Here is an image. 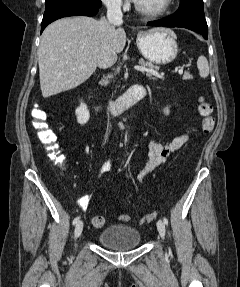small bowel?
<instances>
[{
  "label": "small bowel",
  "mask_w": 240,
  "mask_h": 287,
  "mask_svg": "<svg viewBox=\"0 0 240 287\" xmlns=\"http://www.w3.org/2000/svg\"><path fill=\"white\" fill-rule=\"evenodd\" d=\"M188 139L189 137L183 134L175 137L168 143H159L156 141H151L149 143V159L146 166L138 174V180L141 181L152 170L165 163L171 154L178 151L183 145L186 144ZM111 165L112 164L110 160L104 161L100 167V174L107 173L111 169ZM88 202V196H83L79 199V205L83 209L86 208Z\"/></svg>",
  "instance_id": "small-bowel-1"
}]
</instances>
